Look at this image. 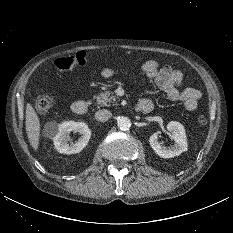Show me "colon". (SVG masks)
<instances>
[{"instance_id": "5ec220e1", "label": "colon", "mask_w": 233, "mask_h": 233, "mask_svg": "<svg viewBox=\"0 0 233 233\" xmlns=\"http://www.w3.org/2000/svg\"><path fill=\"white\" fill-rule=\"evenodd\" d=\"M89 60L86 52H78L75 55L60 57L54 61V66L61 71L70 70L75 66L84 65ZM54 105V99L48 95H42L35 99L33 106L40 114L48 113ZM199 125H206L208 120L205 116L197 118Z\"/></svg>"}]
</instances>
